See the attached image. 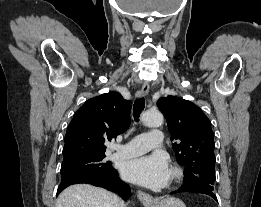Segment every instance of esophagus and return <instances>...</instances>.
Listing matches in <instances>:
<instances>
[{"label": "esophagus", "mask_w": 261, "mask_h": 207, "mask_svg": "<svg viewBox=\"0 0 261 207\" xmlns=\"http://www.w3.org/2000/svg\"><path fill=\"white\" fill-rule=\"evenodd\" d=\"M148 93H149V84L145 82L142 85L139 95L146 96ZM137 197L145 206H149L154 203L153 197L150 194L145 193L143 191H138Z\"/></svg>", "instance_id": "esophagus-1"}]
</instances>
